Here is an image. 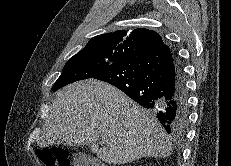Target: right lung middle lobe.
I'll return each mask as SVG.
<instances>
[{
  "label": "right lung middle lobe",
  "mask_w": 231,
  "mask_h": 166,
  "mask_svg": "<svg viewBox=\"0 0 231 166\" xmlns=\"http://www.w3.org/2000/svg\"><path fill=\"white\" fill-rule=\"evenodd\" d=\"M122 61L120 57L107 55L93 50H81L65 64L62 74L52 87V91L75 81L92 78L94 75Z\"/></svg>",
  "instance_id": "right-lung-middle-lobe-1"
}]
</instances>
